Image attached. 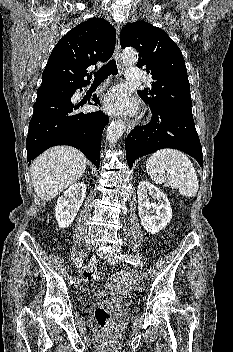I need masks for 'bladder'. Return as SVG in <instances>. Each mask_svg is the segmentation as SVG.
I'll return each instance as SVG.
<instances>
[{
  "label": "bladder",
  "instance_id": "1",
  "mask_svg": "<svg viewBox=\"0 0 233 352\" xmlns=\"http://www.w3.org/2000/svg\"><path fill=\"white\" fill-rule=\"evenodd\" d=\"M91 300H103L120 303L122 305H128L132 301L130 297H121L103 289L95 290L91 296Z\"/></svg>",
  "mask_w": 233,
  "mask_h": 352
}]
</instances>
